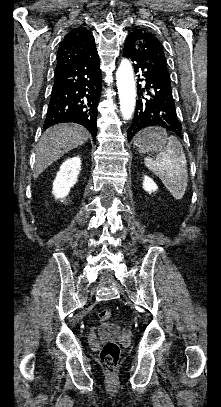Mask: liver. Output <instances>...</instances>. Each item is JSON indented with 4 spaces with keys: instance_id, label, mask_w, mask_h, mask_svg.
Instances as JSON below:
<instances>
[{
    "instance_id": "6515ba94",
    "label": "liver",
    "mask_w": 221,
    "mask_h": 407,
    "mask_svg": "<svg viewBox=\"0 0 221 407\" xmlns=\"http://www.w3.org/2000/svg\"><path fill=\"white\" fill-rule=\"evenodd\" d=\"M89 132L73 123H62L48 128L42 135L37 149L33 178L38 176L65 153L84 144Z\"/></svg>"
}]
</instances>
